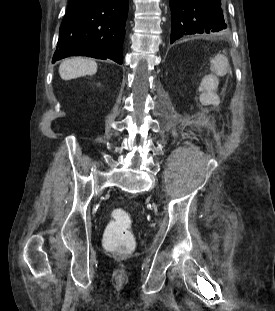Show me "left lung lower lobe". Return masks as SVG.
<instances>
[{
	"mask_svg": "<svg viewBox=\"0 0 275 311\" xmlns=\"http://www.w3.org/2000/svg\"><path fill=\"white\" fill-rule=\"evenodd\" d=\"M171 39L192 34H213L227 28L221 0H169Z\"/></svg>",
	"mask_w": 275,
	"mask_h": 311,
	"instance_id": "left-lung-lower-lobe-1",
	"label": "left lung lower lobe"
}]
</instances>
